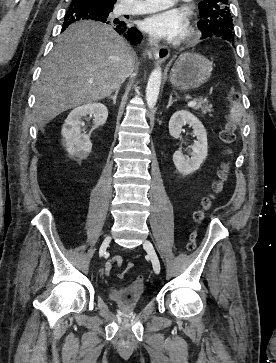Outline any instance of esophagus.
I'll return each instance as SVG.
<instances>
[{
    "mask_svg": "<svg viewBox=\"0 0 276 363\" xmlns=\"http://www.w3.org/2000/svg\"><path fill=\"white\" fill-rule=\"evenodd\" d=\"M170 54V50L165 46L156 47L154 50V57L157 63L164 62Z\"/></svg>",
    "mask_w": 276,
    "mask_h": 363,
    "instance_id": "esophagus-1",
    "label": "esophagus"
}]
</instances>
